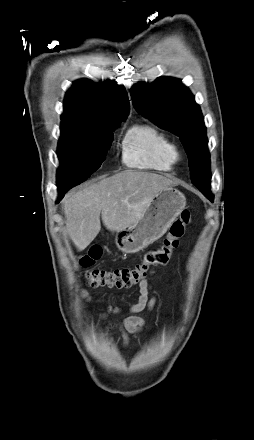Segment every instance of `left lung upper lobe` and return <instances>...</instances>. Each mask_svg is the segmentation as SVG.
<instances>
[{
    "label": "left lung upper lobe",
    "instance_id": "1",
    "mask_svg": "<svg viewBox=\"0 0 254 440\" xmlns=\"http://www.w3.org/2000/svg\"><path fill=\"white\" fill-rule=\"evenodd\" d=\"M131 97L140 114L179 136L188 155L192 183L213 201L206 127L188 88L179 79L159 77L150 84H137Z\"/></svg>",
    "mask_w": 254,
    "mask_h": 440
}]
</instances>
